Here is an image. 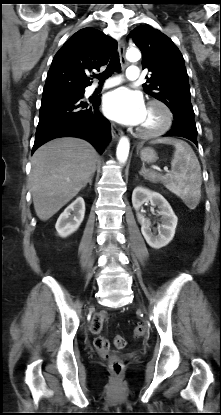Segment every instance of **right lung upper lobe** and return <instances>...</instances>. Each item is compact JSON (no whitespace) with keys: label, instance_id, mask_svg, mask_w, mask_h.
I'll list each match as a JSON object with an SVG mask.
<instances>
[{"label":"right lung upper lobe","instance_id":"1","mask_svg":"<svg viewBox=\"0 0 221 415\" xmlns=\"http://www.w3.org/2000/svg\"><path fill=\"white\" fill-rule=\"evenodd\" d=\"M117 43L103 32L86 27L73 34L51 63L43 94L84 89L91 84L87 73L106 65Z\"/></svg>","mask_w":221,"mask_h":415}]
</instances>
